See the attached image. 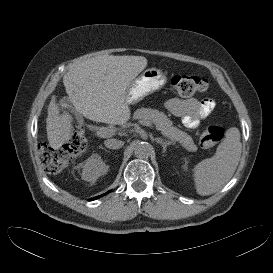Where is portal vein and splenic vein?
Here are the masks:
<instances>
[{
  "label": "portal vein and splenic vein",
  "instance_id": "1",
  "mask_svg": "<svg viewBox=\"0 0 273 273\" xmlns=\"http://www.w3.org/2000/svg\"><path fill=\"white\" fill-rule=\"evenodd\" d=\"M140 123L144 126H148L150 127L151 129H154V126L152 125L151 122L149 121H140ZM113 130L112 129H109L107 127H100L98 130H97V134L98 136L100 137H107V136H110L113 134Z\"/></svg>",
  "mask_w": 273,
  "mask_h": 273
}]
</instances>
